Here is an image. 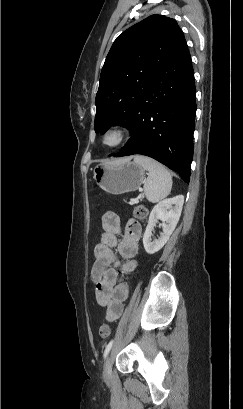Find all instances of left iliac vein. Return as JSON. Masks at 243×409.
Wrapping results in <instances>:
<instances>
[{
  "label": "left iliac vein",
  "instance_id": "1",
  "mask_svg": "<svg viewBox=\"0 0 243 409\" xmlns=\"http://www.w3.org/2000/svg\"><path fill=\"white\" fill-rule=\"evenodd\" d=\"M103 370H104V377L106 380L111 379L112 377V368H111V358L110 356H108L104 362V366H103Z\"/></svg>",
  "mask_w": 243,
  "mask_h": 409
}]
</instances>
